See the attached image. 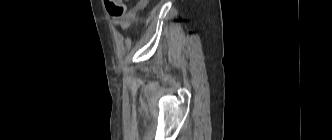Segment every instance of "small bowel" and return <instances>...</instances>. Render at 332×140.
I'll use <instances>...</instances> for the list:
<instances>
[{"instance_id":"c3829d8e","label":"small bowel","mask_w":332,"mask_h":140,"mask_svg":"<svg viewBox=\"0 0 332 140\" xmlns=\"http://www.w3.org/2000/svg\"><path fill=\"white\" fill-rule=\"evenodd\" d=\"M136 11H137V8H134L131 11H129V13L126 16L116 20L115 21V26L120 27L123 30L129 29L131 27L132 23H133V20H134L135 16H136Z\"/></svg>"}]
</instances>
